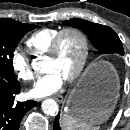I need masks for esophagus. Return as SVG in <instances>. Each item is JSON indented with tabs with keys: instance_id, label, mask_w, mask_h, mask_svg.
Instances as JSON below:
<instances>
[{
	"instance_id": "esophagus-1",
	"label": "esophagus",
	"mask_w": 130,
	"mask_h": 130,
	"mask_svg": "<svg viewBox=\"0 0 130 130\" xmlns=\"http://www.w3.org/2000/svg\"><path fill=\"white\" fill-rule=\"evenodd\" d=\"M54 99H55L56 101H58V102H63V100H64V98H63L62 95H56V96H54Z\"/></svg>"
}]
</instances>
